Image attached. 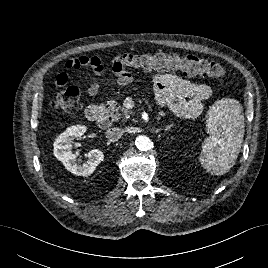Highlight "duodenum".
<instances>
[{
  "mask_svg": "<svg viewBox=\"0 0 268 268\" xmlns=\"http://www.w3.org/2000/svg\"><path fill=\"white\" fill-rule=\"evenodd\" d=\"M86 116L92 121H99L102 128H107L111 124V115L98 106H89L86 110Z\"/></svg>",
  "mask_w": 268,
  "mask_h": 268,
  "instance_id": "410a0bca",
  "label": "duodenum"
}]
</instances>
